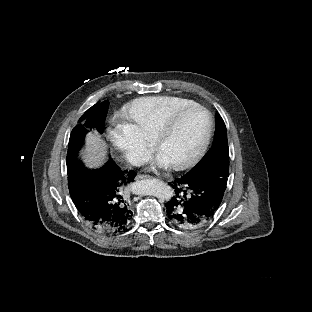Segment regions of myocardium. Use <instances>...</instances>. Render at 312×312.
Returning <instances> with one entry per match:
<instances>
[{"label":"myocardium","instance_id":"f54148a6","mask_svg":"<svg viewBox=\"0 0 312 312\" xmlns=\"http://www.w3.org/2000/svg\"><path fill=\"white\" fill-rule=\"evenodd\" d=\"M200 114L205 121V131L200 140L199 148L196 149L190 156L184 160H177L174 162L173 167L177 171L188 170L200 162L202 157L205 156L206 151L210 148L211 140L216 130V123L213 113L204 104H189L187 106L182 105L177 107L174 111H171L166 117V120L162 123L161 134L156 137V148L163 150L165 143L170 138V133L174 131L180 118L189 114Z\"/></svg>","mask_w":312,"mask_h":312}]
</instances>
